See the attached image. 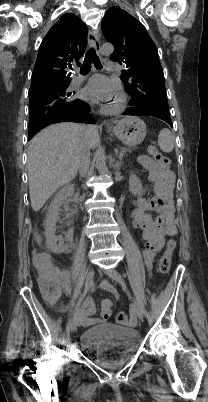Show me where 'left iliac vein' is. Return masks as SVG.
<instances>
[{
	"label": "left iliac vein",
	"instance_id": "left-iliac-vein-1",
	"mask_svg": "<svg viewBox=\"0 0 208 402\" xmlns=\"http://www.w3.org/2000/svg\"><path fill=\"white\" fill-rule=\"evenodd\" d=\"M105 273L110 278H112L114 281L118 282L125 290H127V285L125 283V280L119 274V272H117L115 269H107V270H105ZM133 303H134L135 312H136L138 318L140 320H143V310H142L141 306L135 299H133Z\"/></svg>",
	"mask_w": 208,
	"mask_h": 402
}]
</instances>
